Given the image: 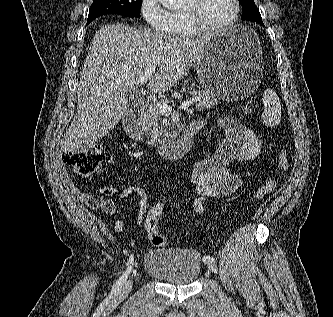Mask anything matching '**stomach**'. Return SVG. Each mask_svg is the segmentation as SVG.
Here are the masks:
<instances>
[{"label":"stomach","instance_id":"obj_1","mask_svg":"<svg viewBox=\"0 0 333 317\" xmlns=\"http://www.w3.org/2000/svg\"><path fill=\"white\" fill-rule=\"evenodd\" d=\"M262 47L256 32L242 24L210 36L196 60L200 83L210 95L238 101L259 95Z\"/></svg>","mask_w":333,"mask_h":317}]
</instances>
